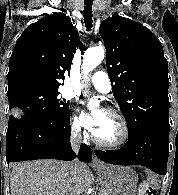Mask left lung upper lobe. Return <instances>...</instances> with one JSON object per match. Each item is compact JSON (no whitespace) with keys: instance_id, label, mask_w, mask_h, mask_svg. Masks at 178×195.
<instances>
[{"instance_id":"1","label":"left lung upper lobe","mask_w":178,"mask_h":195,"mask_svg":"<svg viewBox=\"0 0 178 195\" xmlns=\"http://www.w3.org/2000/svg\"><path fill=\"white\" fill-rule=\"evenodd\" d=\"M99 33L128 134L148 126L170 127L168 63L158 38L147 27L118 14L104 20Z\"/></svg>"}]
</instances>
